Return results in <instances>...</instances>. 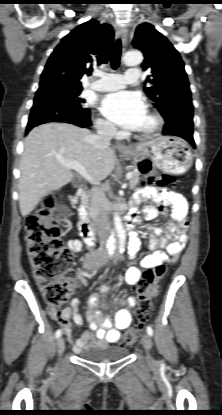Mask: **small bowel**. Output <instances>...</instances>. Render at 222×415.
I'll return each instance as SVG.
<instances>
[{
	"mask_svg": "<svg viewBox=\"0 0 222 415\" xmlns=\"http://www.w3.org/2000/svg\"><path fill=\"white\" fill-rule=\"evenodd\" d=\"M147 199H154L163 204V206L170 204L173 207L171 213H168L163 207L155 208L147 206L144 209V215L147 219H153L159 214L171 216L177 221L180 229L170 228L169 232L165 233L163 227H154L148 235V248L151 253L146 255L141 261L143 268H155L164 262H175L182 253L187 244V236L185 229L188 227V220L186 218L188 211V204L183 196L179 193L171 191L161 186H145L138 190L136 201H144ZM130 217L134 220L138 219L137 213H131ZM70 250L78 252L82 249L83 244L79 240H69L67 243ZM140 249V240L134 238L130 246V256L135 257ZM77 286H85L83 278L88 274L79 268ZM141 277V271L137 267H131L125 274V280L129 285L135 286ZM109 287L102 284L98 288V292L92 294L88 300V311L84 317L78 312L79 301L73 298L70 306L64 309H58L52 306L47 308L50 317L58 322L64 329L69 342L72 344L73 350L79 353L83 350L92 347H105L110 344H116L120 340V334L127 329L131 323L130 309L135 307L137 301L134 296H126L122 301V307L115 315L114 323L103 317L97 308L101 305V297L107 293ZM77 326H82L85 320L89 323V329L83 332L81 337L74 340L71 332L70 321Z\"/></svg>",
	"mask_w": 222,
	"mask_h": 415,
	"instance_id": "1",
	"label": "small bowel"
}]
</instances>
